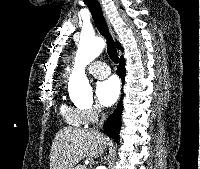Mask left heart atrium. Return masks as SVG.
Masks as SVG:
<instances>
[{
  "instance_id": "39dd6f15",
  "label": "left heart atrium",
  "mask_w": 200,
  "mask_h": 169,
  "mask_svg": "<svg viewBox=\"0 0 200 169\" xmlns=\"http://www.w3.org/2000/svg\"><path fill=\"white\" fill-rule=\"evenodd\" d=\"M97 98L99 102L105 106L110 107L116 103L120 94V84L117 78L111 77L97 86Z\"/></svg>"
}]
</instances>
